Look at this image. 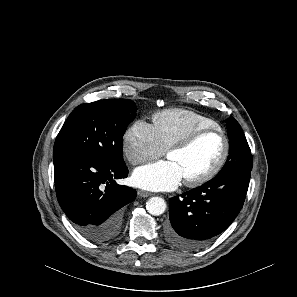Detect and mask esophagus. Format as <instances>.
<instances>
[{"instance_id": "1", "label": "esophagus", "mask_w": 297, "mask_h": 297, "mask_svg": "<svg viewBox=\"0 0 297 297\" xmlns=\"http://www.w3.org/2000/svg\"><path fill=\"white\" fill-rule=\"evenodd\" d=\"M151 195H152V193H150L148 191H144V190H139L138 191V196H140V197H149Z\"/></svg>"}]
</instances>
